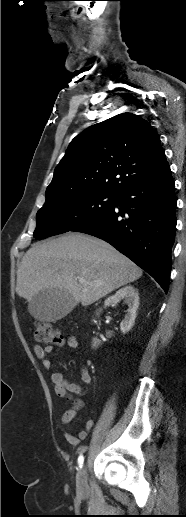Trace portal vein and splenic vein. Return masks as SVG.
I'll use <instances>...</instances> for the list:
<instances>
[{
	"instance_id": "portal-vein-and-splenic-vein-1",
	"label": "portal vein and splenic vein",
	"mask_w": 186,
	"mask_h": 517,
	"mask_svg": "<svg viewBox=\"0 0 186 517\" xmlns=\"http://www.w3.org/2000/svg\"><path fill=\"white\" fill-rule=\"evenodd\" d=\"M78 280H79L80 283H86V280L84 278H80L79 277Z\"/></svg>"
}]
</instances>
